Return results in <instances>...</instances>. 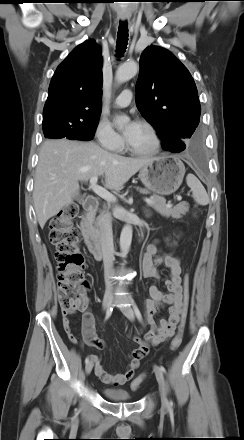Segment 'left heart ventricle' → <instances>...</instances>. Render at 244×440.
<instances>
[{
  "mask_svg": "<svg viewBox=\"0 0 244 440\" xmlns=\"http://www.w3.org/2000/svg\"><path fill=\"white\" fill-rule=\"evenodd\" d=\"M129 144L139 150H147L152 147L153 141L148 131L142 126H138L135 134L128 140Z\"/></svg>",
  "mask_w": 244,
  "mask_h": 440,
  "instance_id": "left-heart-ventricle-1",
  "label": "left heart ventricle"
}]
</instances>
